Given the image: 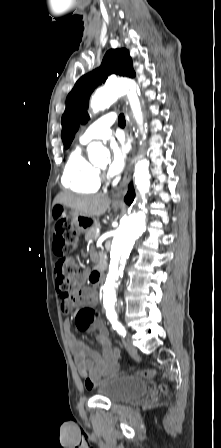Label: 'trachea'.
I'll return each instance as SVG.
<instances>
[{
	"label": "trachea",
	"instance_id": "3493384b",
	"mask_svg": "<svg viewBox=\"0 0 221 448\" xmlns=\"http://www.w3.org/2000/svg\"><path fill=\"white\" fill-rule=\"evenodd\" d=\"M118 124H119L120 126H125L126 122H125V117H124L123 114H120V115H119V117H118Z\"/></svg>",
	"mask_w": 221,
	"mask_h": 448
}]
</instances>
